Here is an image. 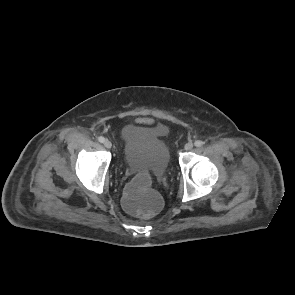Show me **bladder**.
Here are the masks:
<instances>
[{"label": "bladder", "mask_w": 295, "mask_h": 295, "mask_svg": "<svg viewBox=\"0 0 295 295\" xmlns=\"http://www.w3.org/2000/svg\"><path fill=\"white\" fill-rule=\"evenodd\" d=\"M168 132L160 121L128 123L120 133L125 160L137 167L164 170L170 159Z\"/></svg>", "instance_id": "1"}]
</instances>
